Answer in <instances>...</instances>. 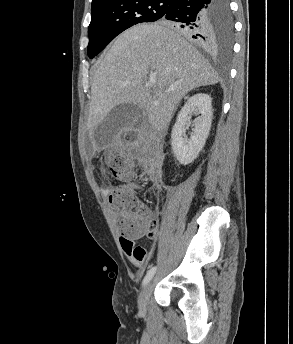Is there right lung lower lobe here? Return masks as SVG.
I'll list each match as a JSON object with an SVG mask.
<instances>
[{
  "label": "right lung lower lobe",
  "instance_id": "right-lung-lower-lobe-1",
  "mask_svg": "<svg viewBox=\"0 0 293 344\" xmlns=\"http://www.w3.org/2000/svg\"><path fill=\"white\" fill-rule=\"evenodd\" d=\"M217 0H170L162 20L173 21L188 38L205 49L215 43L213 16Z\"/></svg>",
  "mask_w": 293,
  "mask_h": 344
}]
</instances>
